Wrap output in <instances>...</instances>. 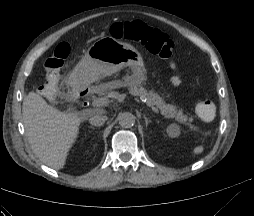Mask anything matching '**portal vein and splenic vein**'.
Returning <instances> with one entry per match:
<instances>
[{
    "label": "portal vein and splenic vein",
    "instance_id": "18ae733b",
    "mask_svg": "<svg viewBox=\"0 0 254 216\" xmlns=\"http://www.w3.org/2000/svg\"><path fill=\"white\" fill-rule=\"evenodd\" d=\"M108 103H109V98H107V97H99V98L95 99V100L92 102V105H93L94 107H100V106H104V105H106V104H108ZM151 109H152V111H154L156 114H159V110H158L156 107L151 106Z\"/></svg>",
    "mask_w": 254,
    "mask_h": 216
}]
</instances>
